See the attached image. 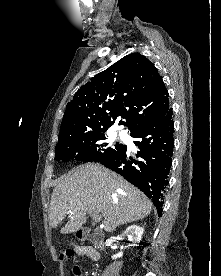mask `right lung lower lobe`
Instances as JSON below:
<instances>
[{"mask_svg":"<svg viewBox=\"0 0 221 276\" xmlns=\"http://www.w3.org/2000/svg\"><path fill=\"white\" fill-rule=\"evenodd\" d=\"M173 132L174 121L170 108L153 122L130 132V136L139 139L134 142L139 148L136 157L127 153L126 147L121 154L102 163L122 175L151 198L159 216L162 214L172 164Z\"/></svg>","mask_w":221,"mask_h":276,"instance_id":"right-lung-lower-lobe-1","label":"right lung lower lobe"}]
</instances>
